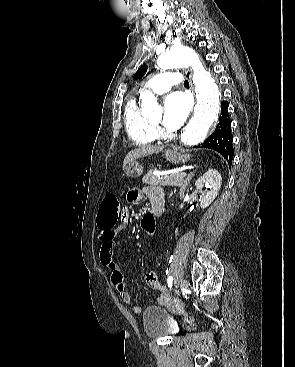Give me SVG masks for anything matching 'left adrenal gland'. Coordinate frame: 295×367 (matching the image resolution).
Listing matches in <instances>:
<instances>
[{"mask_svg":"<svg viewBox=\"0 0 295 367\" xmlns=\"http://www.w3.org/2000/svg\"><path fill=\"white\" fill-rule=\"evenodd\" d=\"M194 176V173H190L188 176H187V178H186V181H185V183L182 185V186H180V189L181 190H185L186 189V187L188 186V184L190 183V180L192 179V177Z\"/></svg>","mask_w":295,"mask_h":367,"instance_id":"obj_1","label":"left adrenal gland"}]
</instances>
